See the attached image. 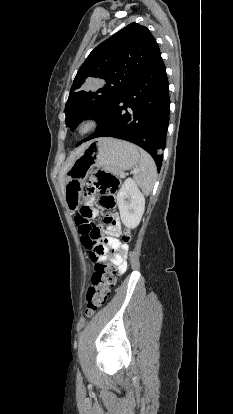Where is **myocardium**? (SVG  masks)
I'll return each mask as SVG.
<instances>
[{"mask_svg":"<svg viewBox=\"0 0 233 414\" xmlns=\"http://www.w3.org/2000/svg\"><path fill=\"white\" fill-rule=\"evenodd\" d=\"M101 120L97 115L83 116L75 127V134L79 138H85L99 129Z\"/></svg>","mask_w":233,"mask_h":414,"instance_id":"1","label":"myocardium"}]
</instances>
